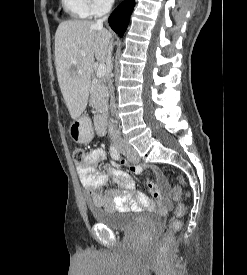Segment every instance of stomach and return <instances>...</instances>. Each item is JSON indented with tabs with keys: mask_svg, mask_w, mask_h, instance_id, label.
<instances>
[{
	"mask_svg": "<svg viewBox=\"0 0 247 275\" xmlns=\"http://www.w3.org/2000/svg\"><path fill=\"white\" fill-rule=\"evenodd\" d=\"M70 135L77 143H85L92 138L90 127L88 125H84L79 120H76L72 123L70 128Z\"/></svg>",
	"mask_w": 247,
	"mask_h": 275,
	"instance_id": "stomach-1",
	"label": "stomach"
}]
</instances>
